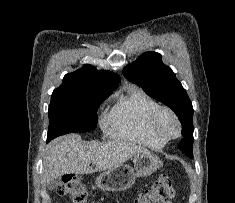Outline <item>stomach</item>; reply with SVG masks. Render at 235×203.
<instances>
[{
  "mask_svg": "<svg viewBox=\"0 0 235 203\" xmlns=\"http://www.w3.org/2000/svg\"><path fill=\"white\" fill-rule=\"evenodd\" d=\"M133 162V168L122 164L99 174L95 184L104 191H124L135 183L137 177L149 176L159 167L158 156L149 151L136 154Z\"/></svg>",
  "mask_w": 235,
  "mask_h": 203,
  "instance_id": "stomach-1",
  "label": "stomach"
}]
</instances>
